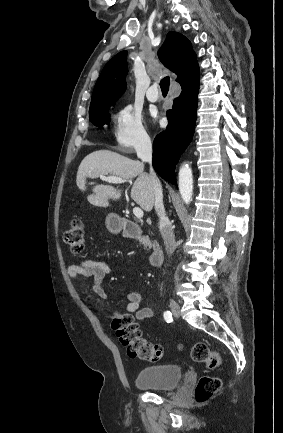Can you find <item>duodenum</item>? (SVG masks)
Segmentation results:
<instances>
[{"instance_id":"duodenum-1","label":"duodenum","mask_w":283,"mask_h":433,"mask_svg":"<svg viewBox=\"0 0 283 433\" xmlns=\"http://www.w3.org/2000/svg\"><path fill=\"white\" fill-rule=\"evenodd\" d=\"M122 229H123L124 234L127 237L140 239L143 242H146L141 227L139 225H137L135 222L130 221V220H124L122 222ZM163 259H164V252H163L162 248L154 247L153 251L150 255L151 265L156 266V267L160 266L163 263Z\"/></svg>"}]
</instances>
